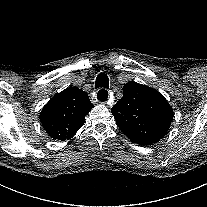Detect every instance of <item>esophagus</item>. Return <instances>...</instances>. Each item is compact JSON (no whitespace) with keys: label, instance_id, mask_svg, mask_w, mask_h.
I'll list each match as a JSON object with an SVG mask.
<instances>
[{"label":"esophagus","instance_id":"obj_1","mask_svg":"<svg viewBox=\"0 0 207 207\" xmlns=\"http://www.w3.org/2000/svg\"><path fill=\"white\" fill-rule=\"evenodd\" d=\"M94 99L98 102V101H101V102H106L109 97H110V93L107 89L105 88H102L100 89L99 91L96 90L94 92Z\"/></svg>","mask_w":207,"mask_h":207}]
</instances>
